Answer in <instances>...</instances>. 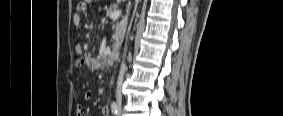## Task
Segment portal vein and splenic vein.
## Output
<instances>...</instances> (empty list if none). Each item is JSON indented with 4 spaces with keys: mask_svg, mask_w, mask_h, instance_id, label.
<instances>
[{
    "mask_svg": "<svg viewBox=\"0 0 283 116\" xmlns=\"http://www.w3.org/2000/svg\"><path fill=\"white\" fill-rule=\"evenodd\" d=\"M120 16H121V11H120V10H116V11H114L113 13H111V14L109 15V17H110L111 19H113V20L118 19Z\"/></svg>",
    "mask_w": 283,
    "mask_h": 116,
    "instance_id": "obj_1",
    "label": "portal vein and splenic vein"
}]
</instances>
